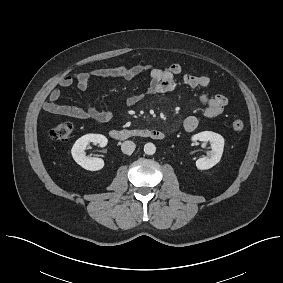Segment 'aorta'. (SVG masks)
<instances>
[{
    "label": "aorta",
    "mask_w": 283,
    "mask_h": 283,
    "mask_svg": "<svg viewBox=\"0 0 283 283\" xmlns=\"http://www.w3.org/2000/svg\"><path fill=\"white\" fill-rule=\"evenodd\" d=\"M144 152L147 155H153L156 152V147L153 143H146L144 146Z\"/></svg>",
    "instance_id": "762f6f07"
}]
</instances>
